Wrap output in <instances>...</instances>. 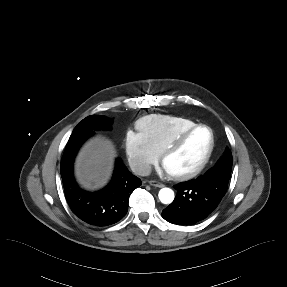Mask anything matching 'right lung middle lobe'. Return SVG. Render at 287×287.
I'll list each match as a JSON object with an SVG mask.
<instances>
[{
	"label": "right lung middle lobe",
	"instance_id": "obj_1",
	"mask_svg": "<svg viewBox=\"0 0 287 287\" xmlns=\"http://www.w3.org/2000/svg\"><path fill=\"white\" fill-rule=\"evenodd\" d=\"M112 124L111 119L101 115H92L86 117L84 120L79 122L74 128L73 132L80 130H97V129H110Z\"/></svg>",
	"mask_w": 287,
	"mask_h": 287
}]
</instances>
